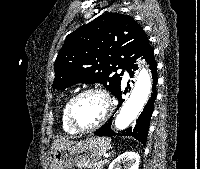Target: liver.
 I'll use <instances>...</instances> for the list:
<instances>
[{
  "mask_svg": "<svg viewBox=\"0 0 200 169\" xmlns=\"http://www.w3.org/2000/svg\"><path fill=\"white\" fill-rule=\"evenodd\" d=\"M74 142L71 141V140H68V139H57L53 142L52 146H51V152H53L54 150L62 147V146H65V145H71L73 144Z\"/></svg>",
  "mask_w": 200,
  "mask_h": 169,
  "instance_id": "6515ba94",
  "label": "liver"
}]
</instances>
